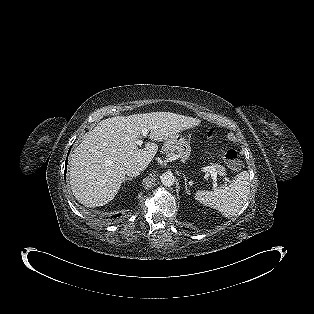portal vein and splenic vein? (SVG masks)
I'll return each mask as SVG.
<instances>
[{
	"instance_id": "portal-vein-and-splenic-vein-1",
	"label": "portal vein and splenic vein",
	"mask_w": 314,
	"mask_h": 314,
	"mask_svg": "<svg viewBox=\"0 0 314 314\" xmlns=\"http://www.w3.org/2000/svg\"><path fill=\"white\" fill-rule=\"evenodd\" d=\"M148 132H149V129H147V128H144L142 130V135H143L144 138L147 137ZM136 144L137 145H142L143 144V140H137ZM204 170L211 174V178H212V180L214 182V187H216L217 186V183H216V181H217V172H216V170L212 166L205 167ZM225 181H226V183L229 182V180H227V179H225Z\"/></svg>"
}]
</instances>
